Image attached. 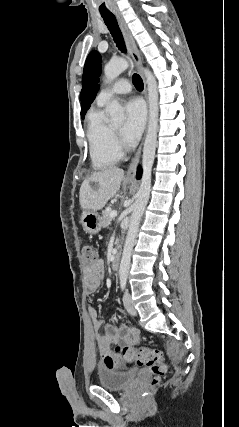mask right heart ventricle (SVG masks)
<instances>
[{"instance_id": "1", "label": "right heart ventricle", "mask_w": 239, "mask_h": 427, "mask_svg": "<svg viewBox=\"0 0 239 427\" xmlns=\"http://www.w3.org/2000/svg\"><path fill=\"white\" fill-rule=\"evenodd\" d=\"M98 105L92 109L87 118V139L92 165L95 169H104L116 164L121 152L113 128L105 121Z\"/></svg>"}]
</instances>
